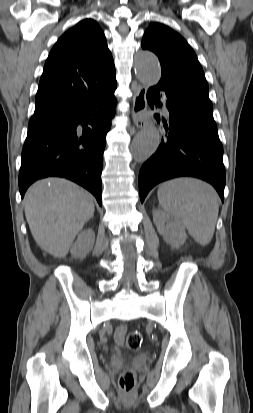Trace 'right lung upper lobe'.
Here are the masks:
<instances>
[{"instance_id": "right-lung-upper-lobe-1", "label": "right lung upper lobe", "mask_w": 253, "mask_h": 413, "mask_svg": "<svg viewBox=\"0 0 253 413\" xmlns=\"http://www.w3.org/2000/svg\"><path fill=\"white\" fill-rule=\"evenodd\" d=\"M115 75L106 38L98 23L85 19L65 32L44 66L32 117L56 115L94 96Z\"/></svg>"}]
</instances>
